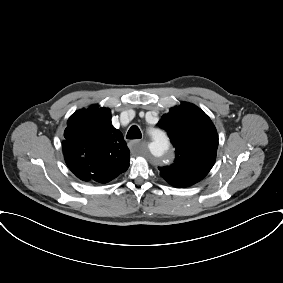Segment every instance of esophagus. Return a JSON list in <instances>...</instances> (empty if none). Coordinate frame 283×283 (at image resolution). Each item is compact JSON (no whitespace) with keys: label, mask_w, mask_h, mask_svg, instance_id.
Instances as JSON below:
<instances>
[{"label":"esophagus","mask_w":283,"mask_h":283,"mask_svg":"<svg viewBox=\"0 0 283 283\" xmlns=\"http://www.w3.org/2000/svg\"><path fill=\"white\" fill-rule=\"evenodd\" d=\"M141 143V140H133V141H130L128 143V146L130 148H135L136 146H138L139 144Z\"/></svg>","instance_id":"34e87169"}]
</instances>
